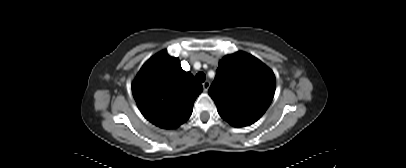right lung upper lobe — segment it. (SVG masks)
<instances>
[{"label": "right lung upper lobe", "mask_w": 406, "mask_h": 168, "mask_svg": "<svg viewBox=\"0 0 406 168\" xmlns=\"http://www.w3.org/2000/svg\"><path fill=\"white\" fill-rule=\"evenodd\" d=\"M203 87L190 72L182 70L179 59L161 51L150 58L132 83L133 96L143 116L164 129L186 122Z\"/></svg>", "instance_id": "obj_1"}]
</instances>
